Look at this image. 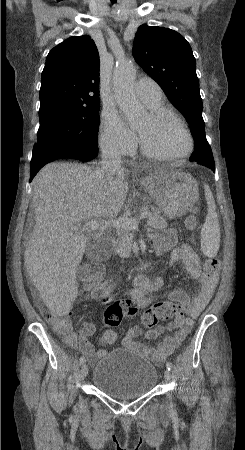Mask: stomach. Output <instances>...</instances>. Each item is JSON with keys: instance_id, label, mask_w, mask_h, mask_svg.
Listing matches in <instances>:
<instances>
[{"instance_id": "stomach-1", "label": "stomach", "mask_w": 245, "mask_h": 450, "mask_svg": "<svg viewBox=\"0 0 245 450\" xmlns=\"http://www.w3.org/2000/svg\"><path fill=\"white\" fill-rule=\"evenodd\" d=\"M160 211L169 218L185 215L199 198L196 180L189 174L169 168L153 171L141 181Z\"/></svg>"}]
</instances>
